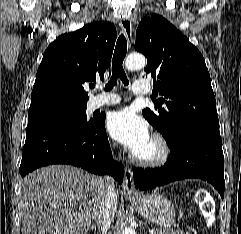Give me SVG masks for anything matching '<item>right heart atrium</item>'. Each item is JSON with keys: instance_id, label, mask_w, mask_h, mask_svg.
<instances>
[{"instance_id": "obj_1", "label": "right heart atrium", "mask_w": 241, "mask_h": 234, "mask_svg": "<svg viewBox=\"0 0 241 234\" xmlns=\"http://www.w3.org/2000/svg\"><path fill=\"white\" fill-rule=\"evenodd\" d=\"M114 149H115V147H114V146H112V147H111L112 152L114 151Z\"/></svg>"}]
</instances>
